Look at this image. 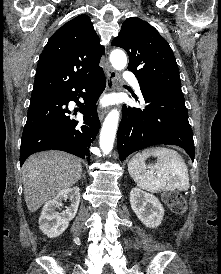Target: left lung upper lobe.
<instances>
[{
  "label": "left lung upper lobe",
  "instance_id": "obj_1",
  "mask_svg": "<svg viewBox=\"0 0 221 274\" xmlns=\"http://www.w3.org/2000/svg\"><path fill=\"white\" fill-rule=\"evenodd\" d=\"M112 45L128 53V70L137 77L141 90L165 97L184 98L173 51L146 21L137 17L127 18Z\"/></svg>",
  "mask_w": 221,
  "mask_h": 274
}]
</instances>
